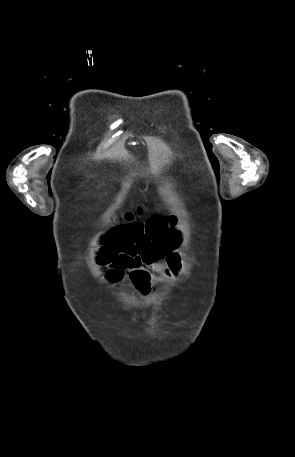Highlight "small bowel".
<instances>
[{
  "mask_svg": "<svg viewBox=\"0 0 295 457\" xmlns=\"http://www.w3.org/2000/svg\"><path fill=\"white\" fill-rule=\"evenodd\" d=\"M174 224V217L156 214L144 223L115 227L100 239L99 260L103 262L106 257L122 253L129 246L136 247L139 265L129 269L127 279L146 292L153 284L173 278L181 271L182 257L177 250L181 236L170 228Z\"/></svg>",
  "mask_w": 295,
  "mask_h": 457,
  "instance_id": "obj_1",
  "label": "small bowel"
}]
</instances>
